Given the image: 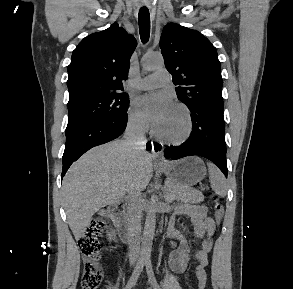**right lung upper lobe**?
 <instances>
[{
  "label": "right lung upper lobe",
  "mask_w": 293,
  "mask_h": 289,
  "mask_svg": "<svg viewBox=\"0 0 293 289\" xmlns=\"http://www.w3.org/2000/svg\"><path fill=\"white\" fill-rule=\"evenodd\" d=\"M136 39L117 23L85 37L73 51L68 66L69 101L123 91Z\"/></svg>",
  "instance_id": "cb5924a9"
}]
</instances>
